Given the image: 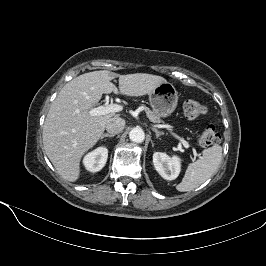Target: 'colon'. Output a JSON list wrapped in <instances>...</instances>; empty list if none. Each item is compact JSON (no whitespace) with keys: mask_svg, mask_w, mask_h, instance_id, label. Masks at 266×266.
Returning <instances> with one entry per match:
<instances>
[{"mask_svg":"<svg viewBox=\"0 0 266 266\" xmlns=\"http://www.w3.org/2000/svg\"><path fill=\"white\" fill-rule=\"evenodd\" d=\"M183 111L188 119H196L206 113V107L196 100L188 99L183 104ZM198 141L203 147L215 145L220 141V134L214 125L209 124L201 131Z\"/></svg>","mask_w":266,"mask_h":266,"instance_id":"5ec220e1","label":"colon"}]
</instances>
